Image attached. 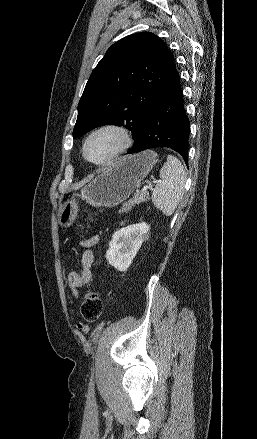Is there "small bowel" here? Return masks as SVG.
Wrapping results in <instances>:
<instances>
[{
	"mask_svg": "<svg viewBox=\"0 0 257 439\" xmlns=\"http://www.w3.org/2000/svg\"><path fill=\"white\" fill-rule=\"evenodd\" d=\"M98 241V237L94 236L88 239L81 240L79 242L80 246L85 248L82 257H81V266L82 270L80 272L81 276V284L78 287H70L71 292L74 297H78V289L83 285L89 284L92 280V271L91 267L94 261V255L92 250L90 249L96 242ZM79 328L83 333H87L89 331V327L87 325L78 324Z\"/></svg>",
	"mask_w": 257,
	"mask_h": 439,
	"instance_id": "c3829d8e",
	"label": "small bowel"
}]
</instances>
